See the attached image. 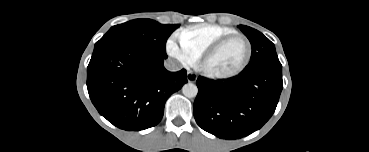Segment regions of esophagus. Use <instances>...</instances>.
Returning a JSON list of instances; mask_svg holds the SVG:
<instances>
[{
  "instance_id": "1",
  "label": "esophagus",
  "mask_w": 369,
  "mask_h": 152,
  "mask_svg": "<svg viewBox=\"0 0 369 152\" xmlns=\"http://www.w3.org/2000/svg\"><path fill=\"white\" fill-rule=\"evenodd\" d=\"M187 80L188 82H195L197 80V76L192 72H187Z\"/></svg>"
}]
</instances>
